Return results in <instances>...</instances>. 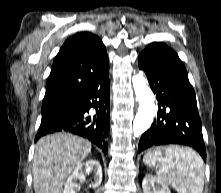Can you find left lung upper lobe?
I'll return each mask as SVG.
<instances>
[{"label": "left lung upper lobe", "instance_id": "obj_1", "mask_svg": "<svg viewBox=\"0 0 221 193\" xmlns=\"http://www.w3.org/2000/svg\"><path fill=\"white\" fill-rule=\"evenodd\" d=\"M175 117H178L177 114L175 115ZM172 124H174V121L172 120Z\"/></svg>", "mask_w": 221, "mask_h": 193}]
</instances>
